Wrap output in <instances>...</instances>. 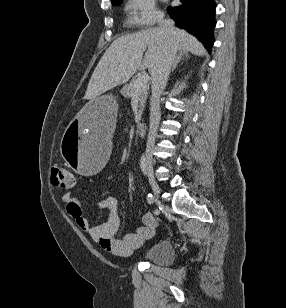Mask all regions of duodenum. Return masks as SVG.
Listing matches in <instances>:
<instances>
[{"mask_svg": "<svg viewBox=\"0 0 286 308\" xmlns=\"http://www.w3.org/2000/svg\"><path fill=\"white\" fill-rule=\"evenodd\" d=\"M136 132L139 136L146 135L147 132V124L145 122H139L136 126Z\"/></svg>", "mask_w": 286, "mask_h": 308, "instance_id": "obj_1", "label": "duodenum"}]
</instances>
